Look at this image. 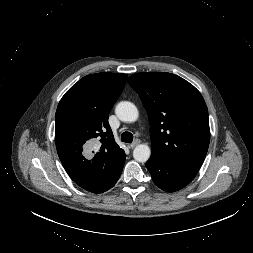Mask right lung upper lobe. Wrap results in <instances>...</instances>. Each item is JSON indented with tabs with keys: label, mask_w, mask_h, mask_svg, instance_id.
I'll return each instance as SVG.
<instances>
[{
	"label": "right lung upper lobe",
	"mask_w": 253,
	"mask_h": 253,
	"mask_svg": "<svg viewBox=\"0 0 253 253\" xmlns=\"http://www.w3.org/2000/svg\"><path fill=\"white\" fill-rule=\"evenodd\" d=\"M126 79V74L109 72L85 76L58 104V156L70 178L87 191L94 192L107 182L125 158L124 150L114 140L108 117ZM84 145L96 147L87 158Z\"/></svg>",
	"instance_id": "obj_1"
}]
</instances>
